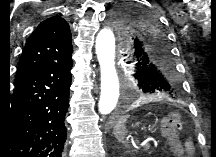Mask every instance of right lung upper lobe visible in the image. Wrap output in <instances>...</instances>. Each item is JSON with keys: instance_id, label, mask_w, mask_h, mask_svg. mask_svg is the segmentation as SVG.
I'll return each instance as SVG.
<instances>
[{"instance_id": "obj_1", "label": "right lung upper lobe", "mask_w": 216, "mask_h": 157, "mask_svg": "<svg viewBox=\"0 0 216 157\" xmlns=\"http://www.w3.org/2000/svg\"><path fill=\"white\" fill-rule=\"evenodd\" d=\"M72 54L71 32L60 16L41 22L26 41L18 65L15 82L37 69Z\"/></svg>"}]
</instances>
